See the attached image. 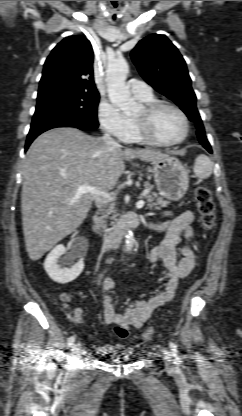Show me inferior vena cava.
Returning <instances> with one entry per match:
<instances>
[{"label":"inferior vena cava","instance_id":"1","mask_svg":"<svg viewBox=\"0 0 242 416\" xmlns=\"http://www.w3.org/2000/svg\"><path fill=\"white\" fill-rule=\"evenodd\" d=\"M102 141L107 145V146H112V147H117L119 146V144L108 134L105 133L102 137Z\"/></svg>","mask_w":242,"mask_h":416}]
</instances>
